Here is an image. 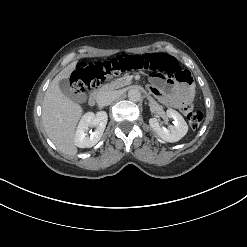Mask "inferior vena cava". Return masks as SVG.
I'll use <instances>...</instances> for the list:
<instances>
[{
	"label": "inferior vena cava",
	"instance_id": "obj_1",
	"mask_svg": "<svg viewBox=\"0 0 247 247\" xmlns=\"http://www.w3.org/2000/svg\"><path fill=\"white\" fill-rule=\"evenodd\" d=\"M117 97H118V94L116 91H105L99 95L98 104L101 106H108L114 100H116Z\"/></svg>",
	"mask_w": 247,
	"mask_h": 247
}]
</instances>
